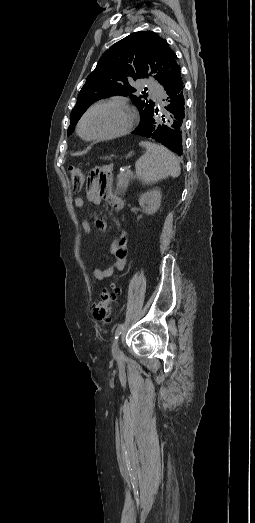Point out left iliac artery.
I'll list each match as a JSON object with an SVG mask.
<instances>
[{"label":"left iliac artery","mask_w":255,"mask_h":523,"mask_svg":"<svg viewBox=\"0 0 255 523\" xmlns=\"http://www.w3.org/2000/svg\"><path fill=\"white\" fill-rule=\"evenodd\" d=\"M123 329H124V324H119L118 327L116 328L115 337H114L115 343H117Z\"/></svg>","instance_id":"left-iliac-artery-1"}]
</instances>
